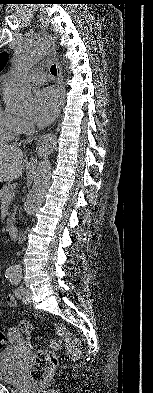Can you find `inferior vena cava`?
<instances>
[{
    "label": "inferior vena cava",
    "instance_id": "obj_1",
    "mask_svg": "<svg viewBox=\"0 0 153 393\" xmlns=\"http://www.w3.org/2000/svg\"><path fill=\"white\" fill-rule=\"evenodd\" d=\"M21 239H22V238H20V237H19V243H21V242H22V240H21Z\"/></svg>",
    "mask_w": 153,
    "mask_h": 393
}]
</instances>
